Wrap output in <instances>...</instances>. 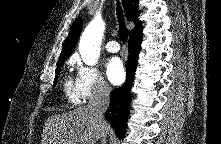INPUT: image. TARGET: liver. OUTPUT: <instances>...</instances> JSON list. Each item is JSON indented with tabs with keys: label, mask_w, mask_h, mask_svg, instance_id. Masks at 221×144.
<instances>
[{
	"label": "liver",
	"mask_w": 221,
	"mask_h": 144,
	"mask_svg": "<svg viewBox=\"0 0 221 144\" xmlns=\"http://www.w3.org/2000/svg\"><path fill=\"white\" fill-rule=\"evenodd\" d=\"M109 125L100 124L87 107H78L69 113L47 118L42 133V144H95L106 135Z\"/></svg>",
	"instance_id": "6515ba94"
}]
</instances>
